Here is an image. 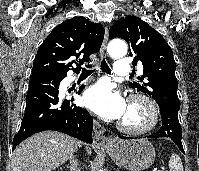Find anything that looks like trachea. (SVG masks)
Here are the masks:
<instances>
[{
  "mask_svg": "<svg viewBox=\"0 0 199 171\" xmlns=\"http://www.w3.org/2000/svg\"><path fill=\"white\" fill-rule=\"evenodd\" d=\"M101 70L103 72H106L107 74H111V69L107 65L105 59L101 61ZM94 71L91 65L86 66V68H83L82 73L84 74H91Z\"/></svg>",
  "mask_w": 199,
  "mask_h": 171,
  "instance_id": "1",
  "label": "trachea"
}]
</instances>
